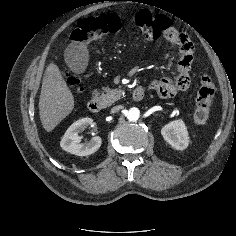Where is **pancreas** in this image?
Masks as SVG:
<instances>
[{
    "instance_id": "1",
    "label": "pancreas",
    "mask_w": 236,
    "mask_h": 236,
    "mask_svg": "<svg viewBox=\"0 0 236 236\" xmlns=\"http://www.w3.org/2000/svg\"><path fill=\"white\" fill-rule=\"evenodd\" d=\"M122 91L118 89L103 88L102 93L95 92L94 97L98 99L104 106H110L112 103L120 99Z\"/></svg>"
}]
</instances>
